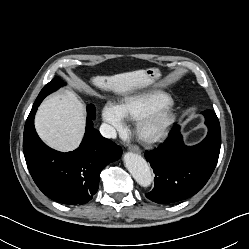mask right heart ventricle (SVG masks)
I'll return each mask as SVG.
<instances>
[{
  "label": "right heart ventricle",
  "instance_id": "1",
  "mask_svg": "<svg viewBox=\"0 0 249 249\" xmlns=\"http://www.w3.org/2000/svg\"><path fill=\"white\" fill-rule=\"evenodd\" d=\"M171 101L168 94L160 91H148L126 97L120 104L122 115L131 120L139 119L151 109Z\"/></svg>",
  "mask_w": 249,
  "mask_h": 249
}]
</instances>
